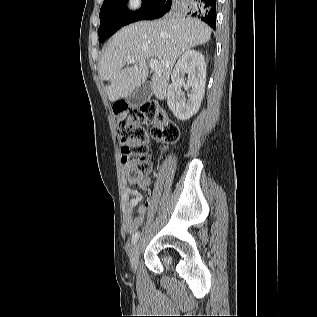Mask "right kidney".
<instances>
[{"label":"right kidney","mask_w":317,"mask_h":317,"mask_svg":"<svg viewBox=\"0 0 317 317\" xmlns=\"http://www.w3.org/2000/svg\"><path fill=\"white\" fill-rule=\"evenodd\" d=\"M188 75L187 84L184 76ZM172 84L167 88V104L174 116L189 119L200 108L205 93L206 63L199 51L187 50L177 61L171 75ZM191 88L186 99L181 88Z\"/></svg>","instance_id":"1"}]
</instances>
